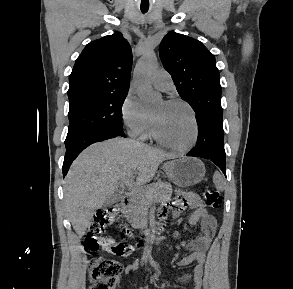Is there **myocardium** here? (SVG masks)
I'll list each match as a JSON object with an SVG mask.
<instances>
[{
	"label": "myocardium",
	"instance_id": "1",
	"mask_svg": "<svg viewBox=\"0 0 293 289\" xmlns=\"http://www.w3.org/2000/svg\"><path fill=\"white\" fill-rule=\"evenodd\" d=\"M166 102L169 104L183 105L189 110L191 117H192V121H193V128H194L193 129V137H192L191 141L185 146H176L174 144H171V143L165 141L160 136L156 122L153 119V117L151 118V127H150L151 128V135L156 140L157 143H159L160 145H162L168 149H171V150L177 151V152H188V151L192 150L197 145L198 140H199V123H198L196 112H195L194 108L185 100L178 99V98H171V99H168Z\"/></svg>",
	"mask_w": 293,
	"mask_h": 289
}]
</instances>
